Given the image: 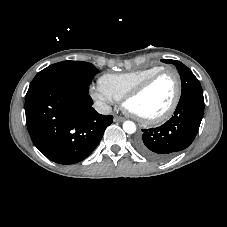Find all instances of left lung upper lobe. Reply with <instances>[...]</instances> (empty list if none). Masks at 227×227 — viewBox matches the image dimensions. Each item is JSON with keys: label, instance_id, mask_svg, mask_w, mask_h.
Listing matches in <instances>:
<instances>
[{"label": "left lung upper lobe", "instance_id": "5c2ea615", "mask_svg": "<svg viewBox=\"0 0 227 227\" xmlns=\"http://www.w3.org/2000/svg\"><path fill=\"white\" fill-rule=\"evenodd\" d=\"M164 63H172L176 66L182 83V92L181 97H184L188 94H203L201 85L192 71L186 67L184 64L177 60L165 59L161 60Z\"/></svg>", "mask_w": 227, "mask_h": 227}]
</instances>
